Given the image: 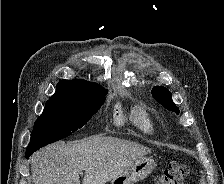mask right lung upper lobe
Wrapping results in <instances>:
<instances>
[{
    "label": "right lung upper lobe",
    "instance_id": "right-lung-upper-lobe-1",
    "mask_svg": "<svg viewBox=\"0 0 224 184\" xmlns=\"http://www.w3.org/2000/svg\"><path fill=\"white\" fill-rule=\"evenodd\" d=\"M105 91L96 83L85 80H61L56 87V92L49 99H78L92 96Z\"/></svg>",
    "mask_w": 224,
    "mask_h": 184
}]
</instances>
